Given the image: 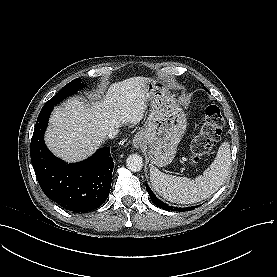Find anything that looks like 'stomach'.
Here are the masks:
<instances>
[{
	"label": "stomach",
	"instance_id": "stomach-1",
	"mask_svg": "<svg viewBox=\"0 0 277 277\" xmlns=\"http://www.w3.org/2000/svg\"><path fill=\"white\" fill-rule=\"evenodd\" d=\"M150 113L147 124L137 135L152 164L164 167L170 164L187 126L183 109L174 95L158 80L146 78Z\"/></svg>",
	"mask_w": 277,
	"mask_h": 277
}]
</instances>
